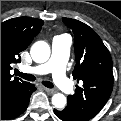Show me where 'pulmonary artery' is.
<instances>
[{
    "label": "pulmonary artery",
    "mask_w": 121,
    "mask_h": 121,
    "mask_svg": "<svg viewBox=\"0 0 121 121\" xmlns=\"http://www.w3.org/2000/svg\"><path fill=\"white\" fill-rule=\"evenodd\" d=\"M71 39L67 35H59L53 39L52 55L46 63L22 67L21 71L34 75L52 74L54 82L66 92L72 91V85L66 77V65L69 57Z\"/></svg>",
    "instance_id": "1"
}]
</instances>
